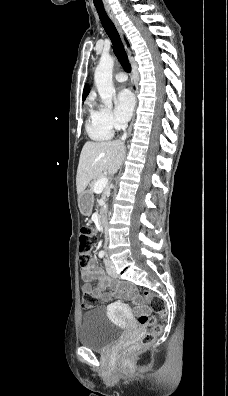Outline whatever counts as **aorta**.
Here are the masks:
<instances>
[{"label":"aorta","mask_w":228,"mask_h":396,"mask_svg":"<svg viewBox=\"0 0 228 396\" xmlns=\"http://www.w3.org/2000/svg\"><path fill=\"white\" fill-rule=\"evenodd\" d=\"M114 59L109 55H102L96 67L94 81L102 103L112 105L115 88L112 81Z\"/></svg>","instance_id":"aorta-1"}]
</instances>
